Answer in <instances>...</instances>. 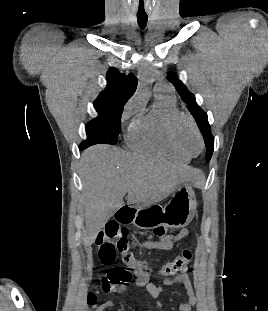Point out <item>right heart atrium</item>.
I'll return each mask as SVG.
<instances>
[{
    "mask_svg": "<svg viewBox=\"0 0 268 311\" xmlns=\"http://www.w3.org/2000/svg\"><path fill=\"white\" fill-rule=\"evenodd\" d=\"M139 109H140V105L138 101L137 100L131 101L124 111V114H123L124 118L131 116L133 113H135Z\"/></svg>",
    "mask_w": 268,
    "mask_h": 311,
    "instance_id": "1",
    "label": "right heart atrium"
}]
</instances>
